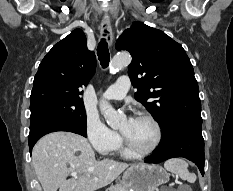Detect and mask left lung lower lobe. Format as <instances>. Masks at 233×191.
<instances>
[{"mask_svg":"<svg viewBox=\"0 0 233 191\" xmlns=\"http://www.w3.org/2000/svg\"><path fill=\"white\" fill-rule=\"evenodd\" d=\"M174 157H184L194 162L204 175V139L202 124L182 123L162 138L154 155L146 163H161Z\"/></svg>","mask_w":233,"mask_h":191,"instance_id":"1","label":"left lung lower lobe"}]
</instances>
